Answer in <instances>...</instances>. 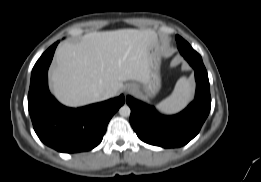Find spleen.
<instances>
[{"label": "spleen", "instance_id": "obj_1", "mask_svg": "<svg viewBox=\"0 0 261 182\" xmlns=\"http://www.w3.org/2000/svg\"><path fill=\"white\" fill-rule=\"evenodd\" d=\"M193 95L192 82L186 77H181L172 94L156 105V108L164 114H172L180 111L191 100Z\"/></svg>", "mask_w": 261, "mask_h": 182}]
</instances>
